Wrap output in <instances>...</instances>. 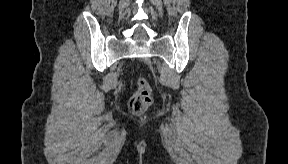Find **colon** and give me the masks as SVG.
<instances>
[{
    "instance_id": "5ec220e1",
    "label": "colon",
    "mask_w": 288,
    "mask_h": 164,
    "mask_svg": "<svg viewBox=\"0 0 288 164\" xmlns=\"http://www.w3.org/2000/svg\"><path fill=\"white\" fill-rule=\"evenodd\" d=\"M152 91L149 83L143 77L136 80V90L129 98L128 107L134 114H140L146 111L151 102Z\"/></svg>"
}]
</instances>
